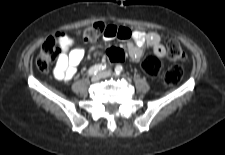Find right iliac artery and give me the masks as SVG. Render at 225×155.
Wrapping results in <instances>:
<instances>
[{
	"instance_id": "82829eb1",
	"label": "right iliac artery",
	"mask_w": 225,
	"mask_h": 155,
	"mask_svg": "<svg viewBox=\"0 0 225 155\" xmlns=\"http://www.w3.org/2000/svg\"><path fill=\"white\" fill-rule=\"evenodd\" d=\"M106 69V65H102V64H96L92 67H90V69L88 70V74L90 76L92 75H96L99 71Z\"/></svg>"
}]
</instances>
